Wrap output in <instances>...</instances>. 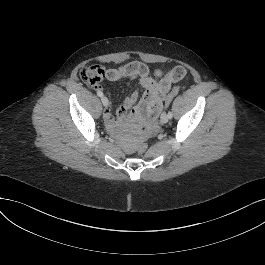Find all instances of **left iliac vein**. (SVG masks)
I'll use <instances>...</instances> for the list:
<instances>
[{
    "label": "left iliac vein",
    "instance_id": "left-iliac-vein-1",
    "mask_svg": "<svg viewBox=\"0 0 265 265\" xmlns=\"http://www.w3.org/2000/svg\"><path fill=\"white\" fill-rule=\"evenodd\" d=\"M168 120H169L168 114L162 113V115H161V122L165 124V123L168 122Z\"/></svg>",
    "mask_w": 265,
    "mask_h": 265
}]
</instances>
